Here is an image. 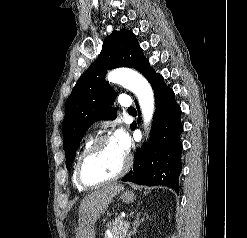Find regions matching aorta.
Here are the masks:
<instances>
[{"label":"aorta","mask_w":247,"mask_h":238,"mask_svg":"<svg viewBox=\"0 0 247 238\" xmlns=\"http://www.w3.org/2000/svg\"><path fill=\"white\" fill-rule=\"evenodd\" d=\"M110 83H117L132 91L140 104L145 128L150 125L154 114V94L148 81L138 72L130 69H117L108 74Z\"/></svg>","instance_id":"1"}]
</instances>
